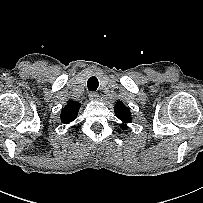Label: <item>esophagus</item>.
I'll return each instance as SVG.
<instances>
[{
  "mask_svg": "<svg viewBox=\"0 0 203 203\" xmlns=\"http://www.w3.org/2000/svg\"><path fill=\"white\" fill-rule=\"evenodd\" d=\"M89 99L91 101H97L99 99V95L96 92H90L89 93Z\"/></svg>",
  "mask_w": 203,
  "mask_h": 203,
  "instance_id": "1",
  "label": "esophagus"
}]
</instances>
